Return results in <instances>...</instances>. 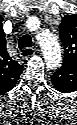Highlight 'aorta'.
Returning <instances> with one entry per match:
<instances>
[{
	"instance_id": "1",
	"label": "aorta",
	"mask_w": 77,
	"mask_h": 125,
	"mask_svg": "<svg viewBox=\"0 0 77 125\" xmlns=\"http://www.w3.org/2000/svg\"><path fill=\"white\" fill-rule=\"evenodd\" d=\"M37 37L47 65L50 68L60 66L62 55L60 45L55 36L48 31H43Z\"/></svg>"
}]
</instances>
